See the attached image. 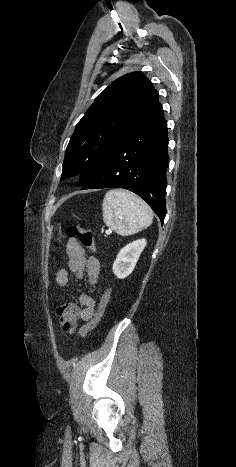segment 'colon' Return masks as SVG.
<instances>
[{"label":"colon","mask_w":236,"mask_h":467,"mask_svg":"<svg viewBox=\"0 0 236 467\" xmlns=\"http://www.w3.org/2000/svg\"><path fill=\"white\" fill-rule=\"evenodd\" d=\"M67 234L71 239H77L82 246L86 247L90 251H96V245L94 242V236L92 231L81 227L79 224H72L67 228ZM108 299L109 295L107 293L101 300L99 308L95 313L94 317L91 319V321H89L87 324L83 325L80 328L79 334L82 338H85L88 335V333L98 325L104 313Z\"/></svg>","instance_id":"5ec220e1"}]
</instances>
